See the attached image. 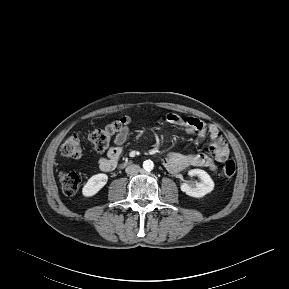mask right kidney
Instances as JSON below:
<instances>
[{"mask_svg": "<svg viewBox=\"0 0 289 289\" xmlns=\"http://www.w3.org/2000/svg\"><path fill=\"white\" fill-rule=\"evenodd\" d=\"M108 176L99 173L90 177L82 189V194L86 197H91L98 193L107 183Z\"/></svg>", "mask_w": 289, "mask_h": 289, "instance_id": "ca27d5eb", "label": "right kidney"}]
</instances>
